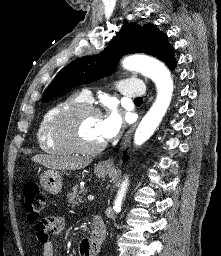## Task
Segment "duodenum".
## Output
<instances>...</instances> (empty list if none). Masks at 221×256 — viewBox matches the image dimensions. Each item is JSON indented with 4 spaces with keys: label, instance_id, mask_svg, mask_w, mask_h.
<instances>
[{
    "label": "duodenum",
    "instance_id": "1",
    "mask_svg": "<svg viewBox=\"0 0 221 256\" xmlns=\"http://www.w3.org/2000/svg\"><path fill=\"white\" fill-rule=\"evenodd\" d=\"M105 235V226L103 220L96 216L92 223L91 232L89 235V240L94 245H100L104 239Z\"/></svg>",
    "mask_w": 221,
    "mask_h": 256
}]
</instances>
